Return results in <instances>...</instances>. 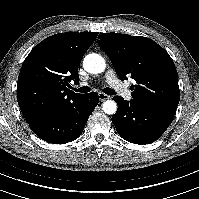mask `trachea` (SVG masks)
<instances>
[{
    "label": "trachea",
    "mask_w": 199,
    "mask_h": 199,
    "mask_svg": "<svg viewBox=\"0 0 199 199\" xmlns=\"http://www.w3.org/2000/svg\"><path fill=\"white\" fill-rule=\"evenodd\" d=\"M76 92H80V93H88L90 92V88L88 86H83V87H80L79 89H74ZM103 92L107 95H115V91L111 88H104L103 89Z\"/></svg>",
    "instance_id": "3493384b"
}]
</instances>
